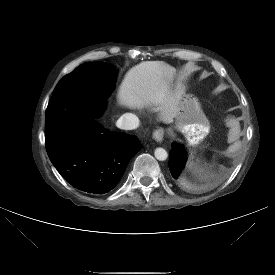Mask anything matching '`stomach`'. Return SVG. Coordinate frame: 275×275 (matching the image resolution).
I'll list each match as a JSON object with an SVG mask.
<instances>
[{
    "label": "stomach",
    "mask_w": 275,
    "mask_h": 275,
    "mask_svg": "<svg viewBox=\"0 0 275 275\" xmlns=\"http://www.w3.org/2000/svg\"><path fill=\"white\" fill-rule=\"evenodd\" d=\"M175 117L178 127L192 145L201 141L209 131V123L200 103L192 95L179 98Z\"/></svg>",
    "instance_id": "obj_1"
}]
</instances>
